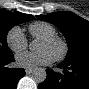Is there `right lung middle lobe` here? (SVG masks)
Listing matches in <instances>:
<instances>
[{
  "mask_svg": "<svg viewBox=\"0 0 89 89\" xmlns=\"http://www.w3.org/2000/svg\"><path fill=\"white\" fill-rule=\"evenodd\" d=\"M27 21V19H24L9 11L0 10V57H5L12 53L8 48L6 39L9 30L13 26Z\"/></svg>",
  "mask_w": 89,
  "mask_h": 89,
  "instance_id": "right-lung-middle-lobe-1",
  "label": "right lung middle lobe"
}]
</instances>
